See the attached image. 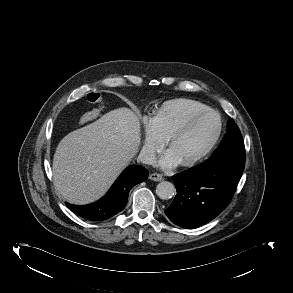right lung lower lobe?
Segmentation results:
<instances>
[{
  "mask_svg": "<svg viewBox=\"0 0 293 293\" xmlns=\"http://www.w3.org/2000/svg\"><path fill=\"white\" fill-rule=\"evenodd\" d=\"M148 177V170L133 165L124 170L107 194L95 203L77 206L66 203L72 212L91 221H101L117 214L127 204L130 189Z\"/></svg>",
  "mask_w": 293,
  "mask_h": 293,
  "instance_id": "1",
  "label": "right lung lower lobe"
}]
</instances>
